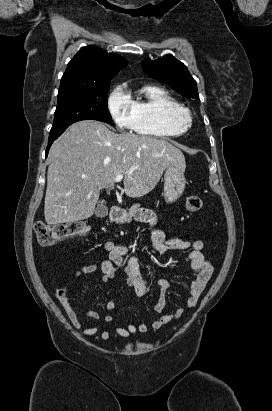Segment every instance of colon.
Masks as SVG:
<instances>
[{
	"label": "colon",
	"instance_id": "1",
	"mask_svg": "<svg viewBox=\"0 0 272 411\" xmlns=\"http://www.w3.org/2000/svg\"><path fill=\"white\" fill-rule=\"evenodd\" d=\"M186 209L196 212L202 208V200L199 196L192 195L186 199ZM89 232L88 225L83 221H72L60 224H47L38 221L35 224V235L37 242L43 247H49L56 242L70 237L85 236ZM68 288L63 286L58 290L60 298L68 296Z\"/></svg>",
	"mask_w": 272,
	"mask_h": 411
}]
</instances>
